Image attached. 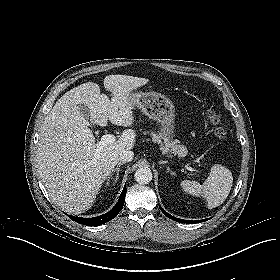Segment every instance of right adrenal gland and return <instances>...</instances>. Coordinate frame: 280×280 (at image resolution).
<instances>
[{"instance_id": "right-adrenal-gland-1", "label": "right adrenal gland", "mask_w": 280, "mask_h": 280, "mask_svg": "<svg viewBox=\"0 0 280 280\" xmlns=\"http://www.w3.org/2000/svg\"><path fill=\"white\" fill-rule=\"evenodd\" d=\"M123 164H124V162L118 163V164H117V167H116L115 169L112 170L111 173L116 172V176H115V179H114V183H113V184H115V182H117V180L119 179L120 167H121V165H123Z\"/></svg>"}]
</instances>
